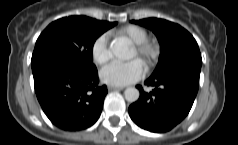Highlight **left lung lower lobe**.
I'll list each match as a JSON object with an SVG mask.
<instances>
[{
	"label": "left lung lower lobe",
	"mask_w": 238,
	"mask_h": 145,
	"mask_svg": "<svg viewBox=\"0 0 238 145\" xmlns=\"http://www.w3.org/2000/svg\"><path fill=\"white\" fill-rule=\"evenodd\" d=\"M200 66H188L175 71L150 76L145 81L153 86L150 93L140 85V98L129 107L131 119L151 132H167L189 113L198 92Z\"/></svg>",
	"instance_id": "left-lung-lower-lobe-1"
}]
</instances>
